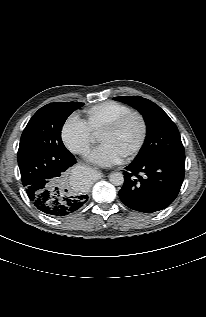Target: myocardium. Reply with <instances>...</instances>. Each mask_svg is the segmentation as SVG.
<instances>
[{"label":"myocardium","mask_w":206,"mask_h":317,"mask_svg":"<svg viewBox=\"0 0 206 317\" xmlns=\"http://www.w3.org/2000/svg\"><path fill=\"white\" fill-rule=\"evenodd\" d=\"M132 117H136L140 121L141 132L137 143L124 156L126 158L135 156L142 149L146 142L148 135V124L145 116L139 111L131 110L109 122L101 131L107 133L114 132L120 129Z\"/></svg>","instance_id":"myocardium-1"}]
</instances>
